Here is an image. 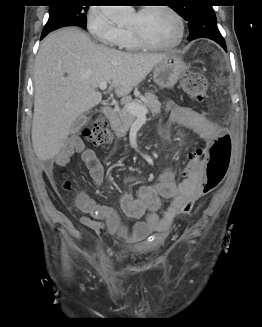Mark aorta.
Masks as SVG:
<instances>
[{"label": "aorta", "instance_id": "aorta-1", "mask_svg": "<svg viewBox=\"0 0 262 327\" xmlns=\"http://www.w3.org/2000/svg\"><path fill=\"white\" fill-rule=\"evenodd\" d=\"M123 15H125V14H122V13H120V14H115V15L113 16V18H114V20H116V19H118L120 16H123Z\"/></svg>", "mask_w": 262, "mask_h": 327}]
</instances>
